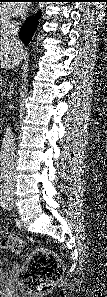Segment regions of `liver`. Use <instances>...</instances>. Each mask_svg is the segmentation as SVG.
I'll return each instance as SVG.
<instances>
[{"instance_id": "1", "label": "liver", "mask_w": 107, "mask_h": 297, "mask_svg": "<svg viewBox=\"0 0 107 297\" xmlns=\"http://www.w3.org/2000/svg\"><path fill=\"white\" fill-rule=\"evenodd\" d=\"M24 55L22 43L12 44L8 38L0 35V67L13 69L18 66Z\"/></svg>"}]
</instances>
